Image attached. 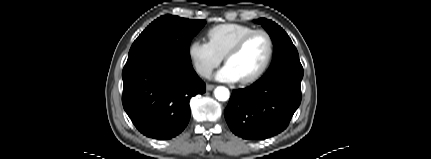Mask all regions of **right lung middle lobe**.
I'll list each match as a JSON object with an SVG mask.
<instances>
[{"instance_id": "obj_1", "label": "right lung middle lobe", "mask_w": 431, "mask_h": 159, "mask_svg": "<svg viewBox=\"0 0 431 159\" xmlns=\"http://www.w3.org/2000/svg\"><path fill=\"white\" fill-rule=\"evenodd\" d=\"M205 23V20H190L173 15L161 16L133 42L128 58L148 50L161 49L190 62V42Z\"/></svg>"}]
</instances>
